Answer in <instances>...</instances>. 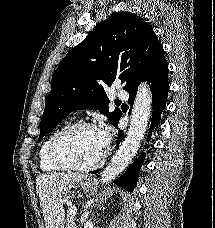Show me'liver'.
<instances>
[{"mask_svg":"<svg viewBox=\"0 0 215 228\" xmlns=\"http://www.w3.org/2000/svg\"><path fill=\"white\" fill-rule=\"evenodd\" d=\"M83 178L82 174H41L36 178V192L46 228H64L65 186H74Z\"/></svg>","mask_w":215,"mask_h":228,"instance_id":"6515ba94","label":"liver"}]
</instances>
